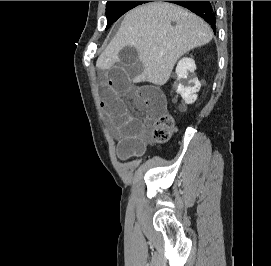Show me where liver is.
<instances>
[{"mask_svg": "<svg viewBox=\"0 0 271 266\" xmlns=\"http://www.w3.org/2000/svg\"><path fill=\"white\" fill-rule=\"evenodd\" d=\"M172 22L176 24L173 26ZM212 38L210 26L195 14L170 3H148L126 14L96 66L101 70L113 67V62L119 61L120 50L131 46L138 51V58L146 67V72L133 81L162 86L183 54L209 43Z\"/></svg>", "mask_w": 271, "mask_h": 266, "instance_id": "1", "label": "liver"}]
</instances>
